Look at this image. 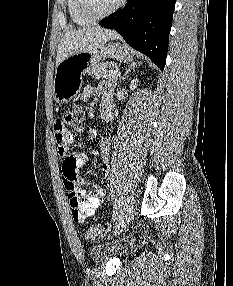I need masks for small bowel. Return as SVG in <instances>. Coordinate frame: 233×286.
Returning a JSON list of instances; mask_svg holds the SVG:
<instances>
[{
  "mask_svg": "<svg viewBox=\"0 0 233 286\" xmlns=\"http://www.w3.org/2000/svg\"><path fill=\"white\" fill-rule=\"evenodd\" d=\"M111 89V85L106 83L98 86H86L80 98L82 101H88L93 95L100 94L103 99L100 116L103 119L110 120L113 118ZM54 131L57 150L61 160L64 186L69 193L75 192L82 200L80 207L73 208L70 205L72 217L77 222H85L89 217L94 215L105 196V192L97 186L86 188L85 181L79 177L78 168L86 163L88 157L83 152H69V145L75 141L72 132L60 121L55 122ZM100 155L102 160L101 174L103 178H107L110 174V146L105 140L100 145Z\"/></svg>",
  "mask_w": 233,
  "mask_h": 286,
  "instance_id": "small-bowel-1",
  "label": "small bowel"
}]
</instances>
